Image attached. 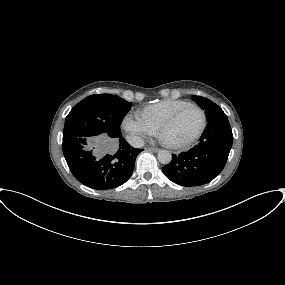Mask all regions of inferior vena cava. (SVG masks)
<instances>
[{
	"label": "inferior vena cava",
	"mask_w": 285,
	"mask_h": 285,
	"mask_svg": "<svg viewBox=\"0 0 285 285\" xmlns=\"http://www.w3.org/2000/svg\"><path fill=\"white\" fill-rule=\"evenodd\" d=\"M128 143L134 148H141L144 146V141L138 136L129 135L127 136Z\"/></svg>",
	"instance_id": "1"
}]
</instances>
